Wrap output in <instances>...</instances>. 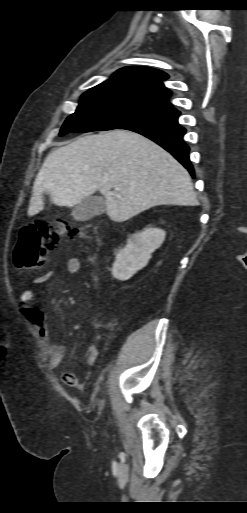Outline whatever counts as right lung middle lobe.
<instances>
[{
	"mask_svg": "<svg viewBox=\"0 0 247 513\" xmlns=\"http://www.w3.org/2000/svg\"><path fill=\"white\" fill-rule=\"evenodd\" d=\"M172 111L171 107L153 104L134 93L93 88L81 96L79 106L66 119L59 135L120 129L126 124Z\"/></svg>",
	"mask_w": 247,
	"mask_h": 513,
	"instance_id": "dd1d6c3e",
	"label": "right lung middle lobe"
}]
</instances>
